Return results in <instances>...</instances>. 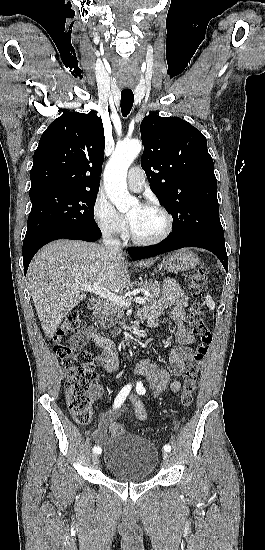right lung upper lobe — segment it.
<instances>
[{
	"label": "right lung upper lobe",
	"mask_w": 265,
	"mask_h": 550,
	"mask_svg": "<svg viewBox=\"0 0 265 550\" xmlns=\"http://www.w3.org/2000/svg\"><path fill=\"white\" fill-rule=\"evenodd\" d=\"M104 129L94 112L66 113L42 134L30 172L31 189L98 192Z\"/></svg>",
	"instance_id": "1"
}]
</instances>
